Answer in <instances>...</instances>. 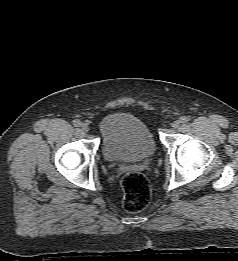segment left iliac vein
<instances>
[{
  "instance_id": "1",
  "label": "left iliac vein",
  "mask_w": 238,
  "mask_h": 261,
  "mask_svg": "<svg viewBox=\"0 0 238 261\" xmlns=\"http://www.w3.org/2000/svg\"><path fill=\"white\" fill-rule=\"evenodd\" d=\"M179 125H180V121H179V120H176V121H174V122L171 124V127L174 128V129H176V128L179 127Z\"/></svg>"
}]
</instances>
